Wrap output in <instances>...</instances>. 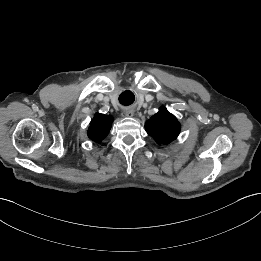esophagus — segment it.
I'll return each instance as SVG.
<instances>
[{"label": "esophagus", "mask_w": 261, "mask_h": 261, "mask_svg": "<svg viewBox=\"0 0 261 261\" xmlns=\"http://www.w3.org/2000/svg\"><path fill=\"white\" fill-rule=\"evenodd\" d=\"M124 114L127 117H132L134 115V110L127 108V109H125Z\"/></svg>", "instance_id": "34e87169"}]
</instances>
